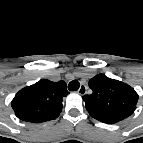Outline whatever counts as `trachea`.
<instances>
[{"instance_id": "1", "label": "trachea", "mask_w": 143, "mask_h": 143, "mask_svg": "<svg viewBox=\"0 0 143 143\" xmlns=\"http://www.w3.org/2000/svg\"><path fill=\"white\" fill-rule=\"evenodd\" d=\"M80 83L77 80H73L68 84V89L70 91H76L79 89Z\"/></svg>"}]
</instances>
